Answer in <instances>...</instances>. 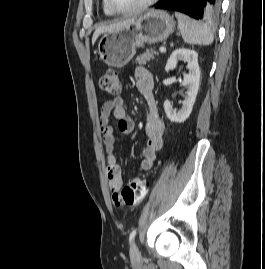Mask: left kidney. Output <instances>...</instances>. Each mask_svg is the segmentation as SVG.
<instances>
[{
  "label": "left kidney",
  "instance_id": "obj_1",
  "mask_svg": "<svg viewBox=\"0 0 265 269\" xmlns=\"http://www.w3.org/2000/svg\"><path fill=\"white\" fill-rule=\"evenodd\" d=\"M178 61L187 63L189 72L182 81V85L187 87V91L179 111L173 109L169 100L164 102V110L170 121L182 123L191 114L196 100L200 83V68L198 65V54L194 50L179 48L170 55L165 66V71L169 72L174 69Z\"/></svg>",
  "mask_w": 265,
  "mask_h": 269
}]
</instances>
